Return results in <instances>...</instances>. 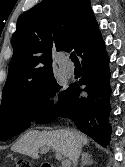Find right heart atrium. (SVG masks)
<instances>
[{"label": "right heart atrium", "instance_id": "d8ad5b80", "mask_svg": "<svg viewBox=\"0 0 125 167\" xmlns=\"http://www.w3.org/2000/svg\"><path fill=\"white\" fill-rule=\"evenodd\" d=\"M53 104L54 98L51 95L44 96L39 102V105L42 109H49Z\"/></svg>", "mask_w": 125, "mask_h": 167}]
</instances>
